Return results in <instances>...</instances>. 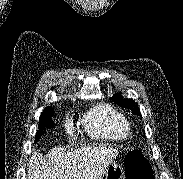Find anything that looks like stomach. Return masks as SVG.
Segmentation results:
<instances>
[{
	"instance_id": "stomach-1",
	"label": "stomach",
	"mask_w": 183,
	"mask_h": 179,
	"mask_svg": "<svg viewBox=\"0 0 183 179\" xmlns=\"http://www.w3.org/2000/svg\"><path fill=\"white\" fill-rule=\"evenodd\" d=\"M101 179H126L123 167L116 162H111L102 174Z\"/></svg>"
}]
</instances>
